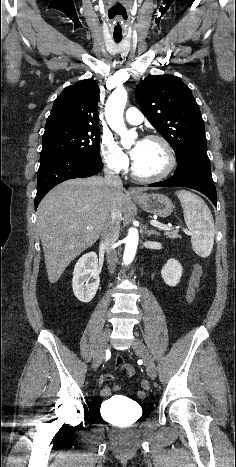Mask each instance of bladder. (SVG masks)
Masks as SVG:
<instances>
[{"instance_id": "31cf9c89", "label": "bladder", "mask_w": 236, "mask_h": 467, "mask_svg": "<svg viewBox=\"0 0 236 467\" xmlns=\"http://www.w3.org/2000/svg\"><path fill=\"white\" fill-rule=\"evenodd\" d=\"M102 412L107 416H112L113 412L117 409L121 410V414L112 419V424L120 427L127 428L134 424L132 419L133 412L138 417L142 414V406L134 401L127 402L121 398L107 399L102 403Z\"/></svg>"}]
</instances>
